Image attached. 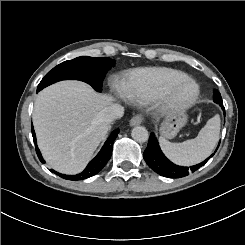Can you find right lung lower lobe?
I'll return each instance as SVG.
<instances>
[{"mask_svg": "<svg viewBox=\"0 0 245 245\" xmlns=\"http://www.w3.org/2000/svg\"><path fill=\"white\" fill-rule=\"evenodd\" d=\"M38 92V91H37ZM119 133V129L114 130L109 138L107 139V141L105 142L104 146L102 147L101 151L98 153V155L87 165V167L85 168V170L77 175H64V174H60L54 170H51L53 173L57 174L58 176L64 178V179H68V180H83L89 177L94 176L95 174H97L108 162V160L110 159L111 155H112V148H113V143L114 140L116 139L117 135ZM32 135H33V140L35 143V147H36V153L40 159V161L42 163H45L44 159L41 156V153L37 147L36 144V137H35V132L32 126Z\"/></svg>", "mask_w": 245, "mask_h": 245, "instance_id": "right-lung-lower-lobe-1", "label": "right lung lower lobe"}]
</instances>
